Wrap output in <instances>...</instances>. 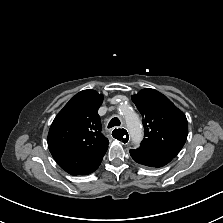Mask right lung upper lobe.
Returning a JSON list of instances; mask_svg holds the SVG:
<instances>
[{"mask_svg": "<svg viewBox=\"0 0 223 223\" xmlns=\"http://www.w3.org/2000/svg\"><path fill=\"white\" fill-rule=\"evenodd\" d=\"M103 95L83 90L73 96L55 117L48 147L58 165L71 175H84L97 167L108 148L97 113Z\"/></svg>", "mask_w": 223, "mask_h": 223, "instance_id": "cb5924a9", "label": "right lung upper lobe"}]
</instances>
